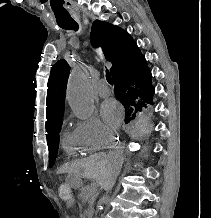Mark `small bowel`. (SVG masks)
<instances>
[{
  "label": "small bowel",
  "mask_w": 211,
  "mask_h": 218,
  "mask_svg": "<svg viewBox=\"0 0 211 218\" xmlns=\"http://www.w3.org/2000/svg\"><path fill=\"white\" fill-rule=\"evenodd\" d=\"M66 205H67V207H72V206H74V200L71 199V200L67 201V202H66Z\"/></svg>",
  "instance_id": "small-bowel-1"
}]
</instances>
